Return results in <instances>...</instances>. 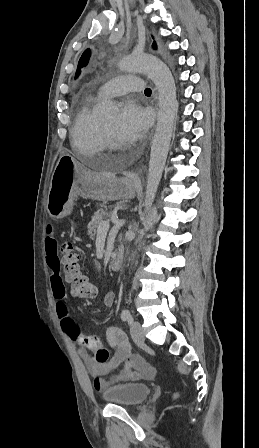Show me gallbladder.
Here are the masks:
<instances>
[{"instance_id": "gallbladder-1", "label": "gallbladder", "mask_w": 259, "mask_h": 448, "mask_svg": "<svg viewBox=\"0 0 259 448\" xmlns=\"http://www.w3.org/2000/svg\"><path fill=\"white\" fill-rule=\"evenodd\" d=\"M98 170H105L104 164H100V166H97Z\"/></svg>"}]
</instances>
